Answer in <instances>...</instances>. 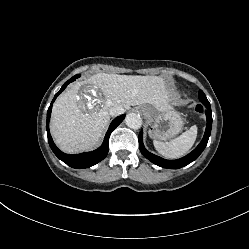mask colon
Segmentation results:
<instances>
[{"label":"colon","instance_id":"obj_1","mask_svg":"<svg viewBox=\"0 0 249 249\" xmlns=\"http://www.w3.org/2000/svg\"><path fill=\"white\" fill-rule=\"evenodd\" d=\"M201 107H199V106H197V107H195V109H194V112H201Z\"/></svg>","mask_w":249,"mask_h":249}]
</instances>
